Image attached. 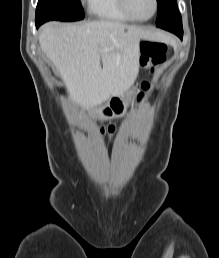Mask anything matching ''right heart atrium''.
I'll return each instance as SVG.
<instances>
[{
	"instance_id": "right-heart-atrium-1",
	"label": "right heart atrium",
	"mask_w": 219,
	"mask_h": 258,
	"mask_svg": "<svg viewBox=\"0 0 219 258\" xmlns=\"http://www.w3.org/2000/svg\"><path fill=\"white\" fill-rule=\"evenodd\" d=\"M84 2H86L88 5L90 3V0H83Z\"/></svg>"
}]
</instances>
